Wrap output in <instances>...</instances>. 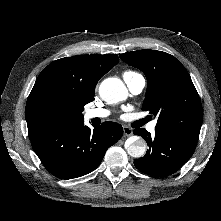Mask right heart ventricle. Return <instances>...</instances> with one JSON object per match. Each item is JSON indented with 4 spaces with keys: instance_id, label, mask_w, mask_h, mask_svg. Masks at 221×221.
<instances>
[{
    "instance_id": "1",
    "label": "right heart ventricle",
    "mask_w": 221,
    "mask_h": 221,
    "mask_svg": "<svg viewBox=\"0 0 221 221\" xmlns=\"http://www.w3.org/2000/svg\"><path fill=\"white\" fill-rule=\"evenodd\" d=\"M133 74H135V73L131 72V71H127V72L124 73V75H133Z\"/></svg>"
}]
</instances>
